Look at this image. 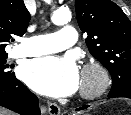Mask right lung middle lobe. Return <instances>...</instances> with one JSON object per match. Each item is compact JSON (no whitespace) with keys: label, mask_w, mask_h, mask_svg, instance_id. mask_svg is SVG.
I'll use <instances>...</instances> for the list:
<instances>
[{"label":"right lung middle lobe","mask_w":131,"mask_h":115,"mask_svg":"<svg viewBox=\"0 0 131 115\" xmlns=\"http://www.w3.org/2000/svg\"><path fill=\"white\" fill-rule=\"evenodd\" d=\"M7 54L0 55V80L9 79L14 76V72L7 70L6 64Z\"/></svg>","instance_id":"obj_1"}]
</instances>
